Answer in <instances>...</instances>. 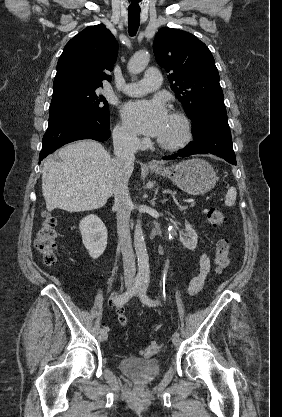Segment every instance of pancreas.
I'll return each instance as SVG.
<instances>
[{
  "label": "pancreas",
  "mask_w": 282,
  "mask_h": 417,
  "mask_svg": "<svg viewBox=\"0 0 282 417\" xmlns=\"http://www.w3.org/2000/svg\"><path fill=\"white\" fill-rule=\"evenodd\" d=\"M195 202H192V204H190V206H194Z\"/></svg>",
  "instance_id": "cf45deb5"
}]
</instances>
